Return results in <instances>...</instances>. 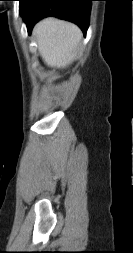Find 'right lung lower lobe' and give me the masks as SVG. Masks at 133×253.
<instances>
[{
  "instance_id": "obj_1",
  "label": "right lung lower lobe",
  "mask_w": 133,
  "mask_h": 253,
  "mask_svg": "<svg viewBox=\"0 0 133 253\" xmlns=\"http://www.w3.org/2000/svg\"><path fill=\"white\" fill-rule=\"evenodd\" d=\"M93 0H29L22 16L28 33L35 23L47 16L71 21L77 24L84 35L88 29L91 2Z\"/></svg>"
}]
</instances>
